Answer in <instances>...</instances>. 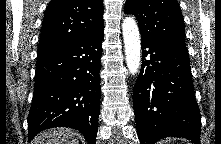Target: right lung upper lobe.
<instances>
[{
    "instance_id": "right-lung-upper-lobe-1",
    "label": "right lung upper lobe",
    "mask_w": 221,
    "mask_h": 144,
    "mask_svg": "<svg viewBox=\"0 0 221 144\" xmlns=\"http://www.w3.org/2000/svg\"><path fill=\"white\" fill-rule=\"evenodd\" d=\"M102 0H51L43 18L37 57L104 28Z\"/></svg>"
}]
</instances>
